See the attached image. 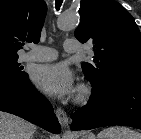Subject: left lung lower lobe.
<instances>
[{"instance_id":"0a47b994","label":"left lung lower lobe","mask_w":141,"mask_h":139,"mask_svg":"<svg viewBox=\"0 0 141 139\" xmlns=\"http://www.w3.org/2000/svg\"><path fill=\"white\" fill-rule=\"evenodd\" d=\"M71 119V130L109 125L141 129V78L115 76L93 87L88 104L72 113Z\"/></svg>"}]
</instances>
